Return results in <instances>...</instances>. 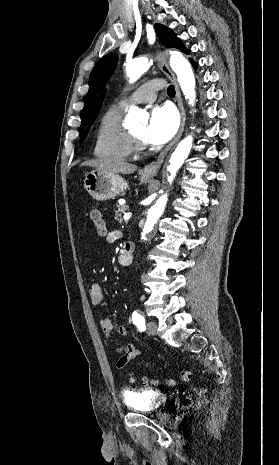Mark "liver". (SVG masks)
<instances>
[{
  "label": "liver",
  "instance_id": "1",
  "mask_svg": "<svg viewBox=\"0 0 279 465\" xmlns=\"http://www.w3.org/2000/svg\"><path fill=\"white\" fill-rule=\"evenodd\" d=\"M82 166L95 167L96 170L110 173L131 174L137 170V166L116 159H95L82 163Z\"/></svg>",
  "mask_w": 279,
  "mask_h": 465
}]
</instances>
